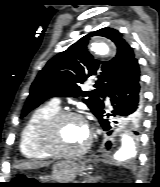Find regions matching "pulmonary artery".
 Returning <instances> with one entry per match:
<instances>
[{"mask_svg":"<svg viewBox=\"0 0 160 187\" xmlns=\"http://www.w3.org/2000/svg\"><path fill=\"white\" fill-rule=\"evenodd\" d=\"M106 101L109 103V99L107 98ZM53 103L56 104V105H59V100L58 99H55L53 100Z\"/></svg>","mask_w":160,"mask_h":187,"instance_id":"1","label":"pulmonary artery"}]
</instances>
